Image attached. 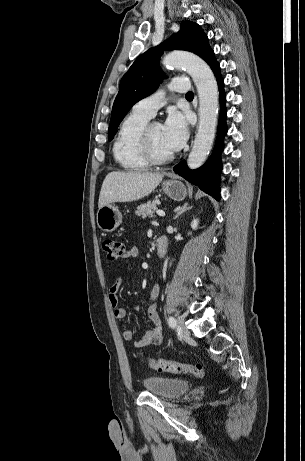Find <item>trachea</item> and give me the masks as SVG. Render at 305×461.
<instances>
[{"mask_svg":"<svg viewBox=\"0 0 305 461\" xmlns=\"http://www.w3.org/2000/svg\"><path fill=\"white\" fill-rule=\"evenodd\" d=\"M186 97H194L193 92H188V93L186 94Z\"/></svg>","mask_w":305,"mask_h":461,"instance_id":"3493384b","label":"trachea"}]
</instances>
